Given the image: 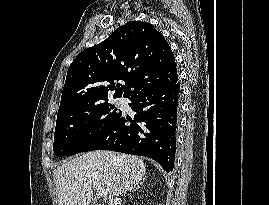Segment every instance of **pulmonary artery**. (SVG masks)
Returning <instances> with one entry per match:
<instances>
[{"label":"pulmonary artery","instance_id":"pulmonary-artery-1","mask_svg":"<svg viewBox=\"0 0 269 205\" xmlns=\"http://www.w3.org/2000/svg\"><path fill=\"white\" fill-rule=\"evenodd\" d=\"M118 102H119V103H123V100L119 99Z\"/></svg>","mask_w":269,"mask_h":205}]
</instances>
